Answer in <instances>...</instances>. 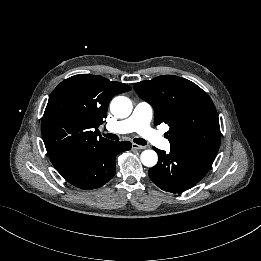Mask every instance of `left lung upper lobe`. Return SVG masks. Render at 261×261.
Returning a JSON list of instances; mask_svg holds the SVG:
<instances>
[{"label":"left lung upper lobe","mask_w":261,"mask_h":261,"mask_svg":"<svg viewBox=\"0 0 261 261\" xmlns=\"http://www.w3.org/2000/svg\"><path fill=\"white\" fill-rule=\"evenodd\" d=\"M154 109V125L168 124L171 149L201 152L215 158L221 141L219 119L210 97L193 82L173 75L134 84Z\"/></svg>","instance_id":"obj_1"}]
</instances>
